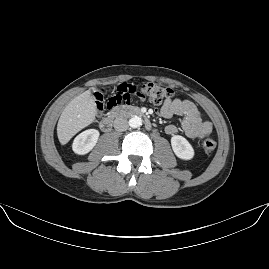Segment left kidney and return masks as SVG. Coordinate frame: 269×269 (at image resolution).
I'll use <instances>...</instances> for the list:
<instances>
[{
    "label": "left kidney",
    "instance_id": "1",
    "mask_svg": "<svg viewBox=\"0 0 269 269\" xmlns=\"http://www.w3.org/2000/svg\"><path fill=\"white\" fill-rule=\"evenodd\" d=\"M171 145L177 157L190 160L194 156V149L191 144L182 136L174 135L171 138Z\"/></svg>",
    "mask_w": 269,
    "mask_h": 269
}]
</instances>
